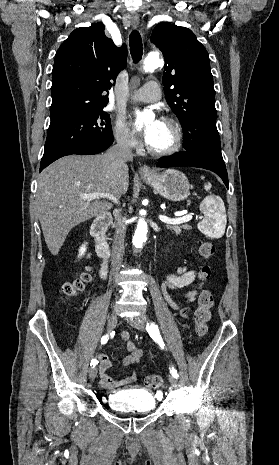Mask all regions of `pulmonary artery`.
<instances>
[{
  "label": "pulmonary artery",
  "mask_w": 279,
  "mask_h": 465,
  "mask_svg": "<svg viewBox=\"0 0 279 465\" xmlns=\"http://www.w3.org/2000/svg\"><path fill=\"white\" fill-rule=\"evenodd\" d=\"M160 97V88L155 81L147 82L133 95V99L144 103L156 102Z\"/></svg>",
  "instance_id": "pulmonary-artery-1"
}]
</instances>
